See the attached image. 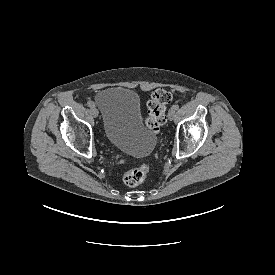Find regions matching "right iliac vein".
Here are the masks:
<instances>
[{
  "instance_id": "1",
  "label": "right iliac vein",
  "mask_w": 275,
  "mask_h": 275,
  "mask_svg": "<svg viewBox=\"0 0 275 275\" xmlns=\"http://www.w3.org/2000/svg\"><path fill=\"white\" fill-rule=\"evenodd\" d=\"M91 113L93 115V117H98V110L96 109V107H92L91 108Z\"/></svg>"
}]
</instances>
